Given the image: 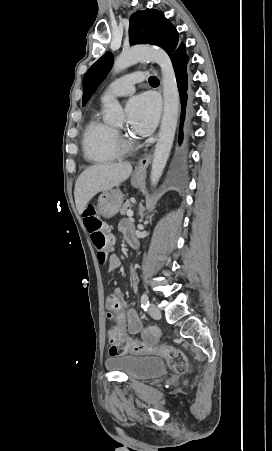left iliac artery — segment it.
<instances>
[{
	"label": "left iliac artery",
	"mask_w": 272,
	"mask_h": 451,
	"mask_svg": "<svg viewBox=\"0 0 272 451\" xmlns=\"http://www.w3.org/2000/svg\"><path fill=\"white\" fill-rule=\"evenodd\" d=\"M141 307L144 311H147V308L149 307V298L146 293H143L141 296Z\"/></svg>",
	"instance_id": "1"
}]
</instances>
